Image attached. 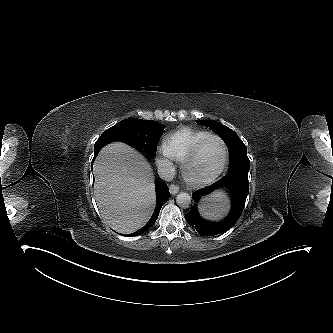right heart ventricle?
<instances>
[{
  "instance_id": "e07e8e85",
  "label": "right heart ventricle",
  "mask_w": 333,
  "mask_h": 333,
  "mask_svg": "<svg viewBox=\"0 0 333 333\" xmlns=\"http://www.w3.org/2000/svg\"><path fill=\"white\" fill-rule=\"evenodd\" d=\"M208 135L207 131L184 127L166 138L165 147L171 158L182 162L195 144Z\"/></svg>"
}]
</instances>
